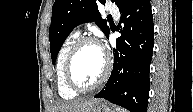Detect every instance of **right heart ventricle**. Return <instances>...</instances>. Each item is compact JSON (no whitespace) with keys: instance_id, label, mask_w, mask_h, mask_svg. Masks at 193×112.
I'll return each mask as SVG.
<instances>
[{"instance_id":"obj_1","label":"right heart ventricle","mask_w":193,"mask_h":112,"mask_svg":"<svg viewBox=\"0 0 193 112\" xmlns=\"http://www.w3.org/2000/svg\"><path fill=\"white\" fill-rule=\"evenodd\" d=\"M79 33L73 32L61 44L56 60V83L59 95L64 99H73L76 97L77 93L70 89L68 86L65 73L64 66L67 55L73 46V44L78 40Z\"/></svg>"}]
</instances>
